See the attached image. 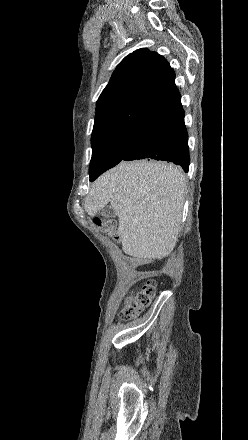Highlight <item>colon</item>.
Wrapping results in <instances>:
<instances>
[{
    "mask_svg": "<svg viewBox=\"0 0 248 440\" xmlns=\"http://www.w3.org/2000/svg\"><path fill=\"white\" fill-rule=\"evenodd\" d=\"M94 223L109 236L116 238L115 223L113 221L96 218ZM155 292V283L153 281L146 282L138 291L127 298L121 311V318L125 321L137 318L150 305Z\"/></svg>",
    "mask_w": 248,
    "mask_h": 440,
    "instance_id": "1",
    "label": "colon"
}]
</instances>
